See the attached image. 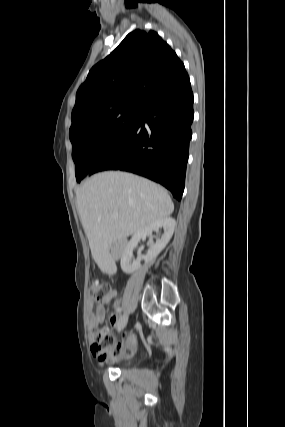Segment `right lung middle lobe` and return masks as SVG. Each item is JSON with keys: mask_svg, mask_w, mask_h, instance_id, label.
Listing matches in <instances>:
<instances>
[{"mask_svg": "<svg viewBox=\"0 0 285 427\" xmlns=\"http://www.w3.org/2000/svg\"><path fill=\"white\" fill-rule=\"evenodd\" d=\"M141 109L142 105L126 106L69 134L77 182L123 141L137 122Z\"/></svg>", "mask_w": 285, "mask_h": 427, "instance_id": "dd1d6c3e", "label": "right lung middle lobe"}]
</instances>
